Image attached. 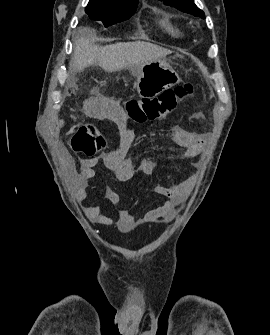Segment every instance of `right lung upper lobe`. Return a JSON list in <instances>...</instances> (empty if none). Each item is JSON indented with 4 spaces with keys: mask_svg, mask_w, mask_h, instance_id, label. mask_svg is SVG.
Instances as JSON below:
<instances>
[{
    "mask_svg": "<svg viewBox=\"0 0 270 335\" xmlns=\"http://www.w3.org/2000/svg\"><path fill=\"white\" fill-rule=\"evenodd\" d=\"M91 2L104 7H114L130 4H138L139 0H90Z\"/></svg>",
    "mask_w": 270,
    "mask_h": 335,
    "instance_id": "1",
    "label": "right lung upper lobe"
}]
</instances>
